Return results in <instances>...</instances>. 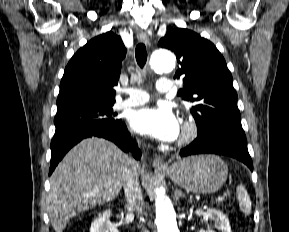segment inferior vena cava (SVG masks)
<instances>
[{"mask_svg": "<svg viewBox=\"0 0 289 232\" xmlns=\"http://www.w3.org/2000/svg\"><path fill=\"white\" fill-rule=\"evenodd\" d=\"M123 187L128 202V211L142 213L144 207L142 190L139 185L137 165L132 159L124 170ZM142 229L143 232H148L144 227Z\"/></svg>", "mask_w": 289, "mask_h": 232, "instance_id": "602c4592", "label": "inferior vena cava"}]
</instances>
